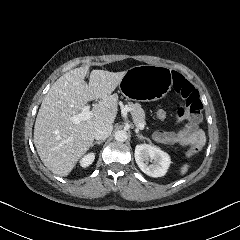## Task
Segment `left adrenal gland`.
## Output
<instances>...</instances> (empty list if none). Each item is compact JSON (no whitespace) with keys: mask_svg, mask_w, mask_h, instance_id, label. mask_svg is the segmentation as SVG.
<instances>
[{"mask_svg":"<svg viewBox=\"0 0 240 240\" xmlns=\"http://www.w3.org/2000/svg\"><path fill=\"white\" fill-rule=\"evenodd\" d=\"M136 136L139 138V139H144V140H148V141H150V139L149 138H147V137H144L143 135H141V134H136Z\"/></svg>","mask_w":240,"mask_h":240,"instance_id":"left-adrenal-gland-1","label":"left adrenal gland"}]
</instances>
